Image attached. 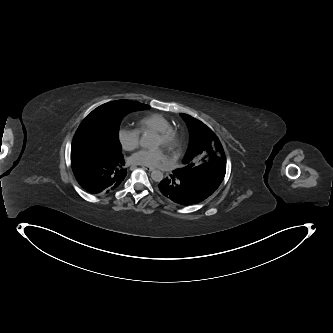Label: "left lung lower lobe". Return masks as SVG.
Listing matches in <instances>:
<instances>
[{
	"mask_svg": "<svg viewBox=\"0 0 333 333\" xmlns=\"http://www.w3.org/2000/svg\"><path fill=\"white\" fill-rule=\"evenodd\" d=\"M158 187L164 197L184 206L200 203L212 195L204 187L189 178L180 176L175 171L161 180Z\"/></svg>",
	"mask_w": 333,
	"mask_h": 333,
	"instance_id": "obj_1",
	"label": "left lung lower lobe"
}]
</instances>
